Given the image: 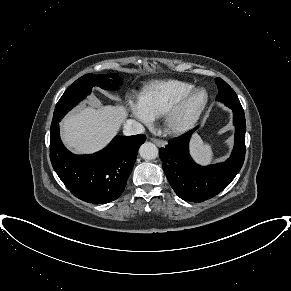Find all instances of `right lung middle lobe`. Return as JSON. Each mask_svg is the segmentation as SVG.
Returning <instances> with one entry per match:
<instances>
[{
	"mask_svg": "<svg viewBox=\"0 0 291 291\" xmlns=\"http://www.w3.org/2000/svg\"><path fill=\"white\" fill-rule=\"evenodd\" d=\"M121 83V79L116 74L94 75L90 73L80 77L67 88L58 101L51 125L59 123L69 110L90 94L93 86H99L104 89H116Z\"/></svg>",
	"mask_w": 291,
	"mask_h": 291,
	"instance_id": "obj_1",
	"label": "right lung middle lobe"
}]
</instances>
